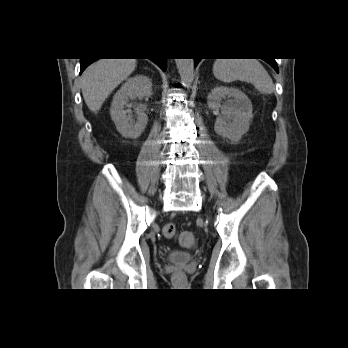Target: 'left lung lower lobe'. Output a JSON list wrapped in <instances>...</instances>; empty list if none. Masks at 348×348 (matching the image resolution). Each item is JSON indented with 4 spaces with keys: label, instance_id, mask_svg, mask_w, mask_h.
I'll return each mask as SVG.
<instances>
[{
    "label": "left lung lower lobe",
    "instance_id": "1",
    "mask_svg": "<svg viewBox=\"0 0 348 348\" xmlns=\"http://www.w3.org/2000/svg\"><path fill=\"white\" fill-rule=\"evenodd\" d=\"M201 59H198V58H196V59H194V61H195V66L198 64V62L200 61ZM267 63H269L277 72H278V66H277V64H276V62H275V60L274 59H271V60H265Z\"/></svg>",
    "mask_w": 348,
    "mask_h": 348
}]
</instances>
